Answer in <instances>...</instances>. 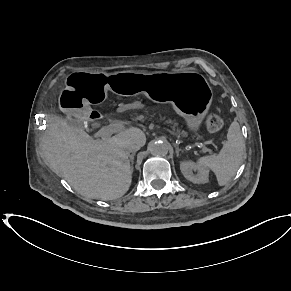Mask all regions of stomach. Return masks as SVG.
Here are the masks:
<instances>
[{
	"label": "stomach",
	"mask_w": 291,
	"mask_h": 291,
	"mask_svg": "<svg viewBox=\"0 0 291 291\" xmlns=\"http://www.w3.org/2000/svg\"><path fill=\"white\" fill-rule=\"evenodd\" d=\"M66 82L58 100L61 111L66 114L84 118L90 111L89 105L103 101L108 90L126 96L144 93L154 101L171 102L193 132L199 130L213 98L207 80L193 71L76 72L70 74Z\"/></svg>",
	"instance_id": "stomach-1"
}]
</instances>
